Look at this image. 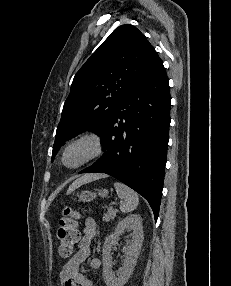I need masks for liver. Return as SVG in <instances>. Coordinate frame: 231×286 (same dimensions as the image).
<instances>
[{
  "instance_id": "6515ba94",
  "label": "liver",
  "mask_w": 231,
  "mask_h": 286,
  "mask_svg": "<svg viewBox=\"0 0 231 286\" xmlns=\"http://www.w3.org/2000/svg\"><path fill=\"white\" fill-rule=\"evenodd\" d=\"M105 175L103 174H86L80 178H78L77 180H75L70 187L67 190V194H70L71 192H73L75 189H77L78 187H80L83 184H86L88 182H92L101 178H104Z\"/></svg>"
}]
</instances>
